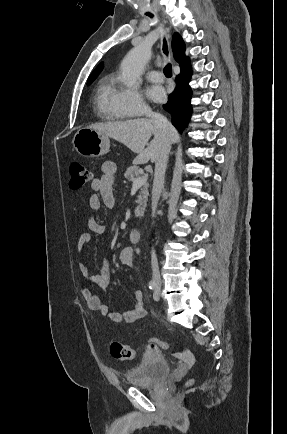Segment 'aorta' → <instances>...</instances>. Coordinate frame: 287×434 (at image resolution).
<instances>
[{
	"instance_id": "1",
	"label": "aorta",
	"mask_w": 287,
	"mask_h": 434,
	"mask_svg": "<svg viewBox=\"0 0 287 434\" xmlns=\"http://www.w3.org/2000/svg\"><path fill=\"white\" fill-rule=\"evenodd\" d=\"M151 57V50L144 45L134 47L121 63L122 82L133 87Z\"/></svg>"
}]
</instances>
